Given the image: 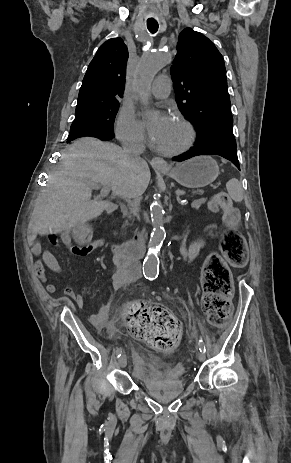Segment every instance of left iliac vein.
Here are the masks:
<instances>
[{
  "mask_svg": "<svg viewBox=\"0 0 291 463\" xmlns=\"http://www.w3.org/2000/svg\"><path fill=\"white\" fill-rule=\"evenodd\" d=\"M198 360L200 362H203L205 360V353L204 352H199L198 353Z\"/></svg>",
  "mask_w": 291,
  "mask_h": 463,
  "instance_id": "left-iliac-vein-1",
  "label": "left iliac vein"
}]
</instances>
